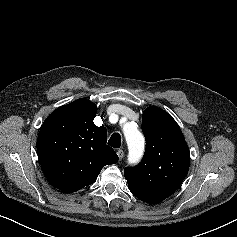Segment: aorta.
<instances>
[{
    "mask_svg": "<svg viewBox=\"0 0 237 237\" xmlns=\"http://www.w3.org/2000/svg\"><path fill=\"white\" fill-rule=\"evenodd\" d=\"M124 135L129 149V159L137 161L144 151V137L134 123L124 127Z\"/></svg>",
    "mask_w": 237,
    "mask_h": 237,
    "instance_id": "aorta-1",
    "label": "aorta"
}]
</instances>
